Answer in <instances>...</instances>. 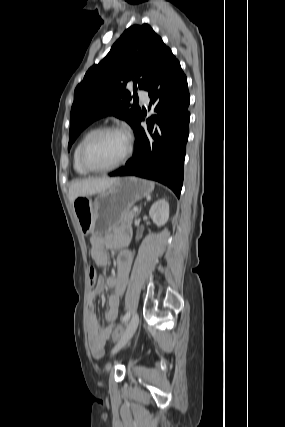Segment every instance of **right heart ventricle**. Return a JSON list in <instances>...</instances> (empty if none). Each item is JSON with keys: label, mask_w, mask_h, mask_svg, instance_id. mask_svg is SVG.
I'll list each match as a JSON object with an SVG mask.
<instances>
[{"label": "right heart ventricle", "mask_w": 285, "mask_h": 427, "mask_svg": "<svg viewBox=\"0 0 285 427\" xmlns=\"http://www.w3.org/2000/svg\"><path fill=\"white\" fill-rule=\"evenodd\" d=\"M97 130L96 127L88 129L84 134L81 136L79 141L77 142L74 151H73V167L76 173L79 175H88L90 174V171L86 170L80 163V149L84 143V141L92 135Z\"/></svg>", "instance_id": "obj_1"}]
</instances>
